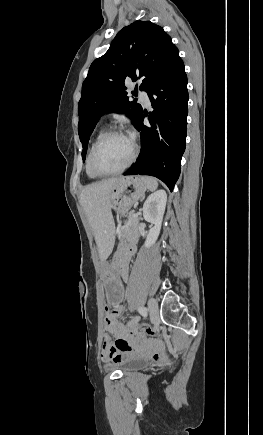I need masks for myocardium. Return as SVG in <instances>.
I'll return each mask as SVG.
<instances>
[{"label":"myocardium","instance_id":"1","mask_svg":"<svg viewBox=\"0 0 263 435\" xmlns=\"http://www.w3.org/2000/svg\"><path fill=\"white\" fill-rule=\"evenodd\" d=\"M112 136H126V137H129L123 130L118 129V128H112V129H109V130L103 132L100 135V137L95 141V143L93 144V146L91 148V151H90L89 165H90V168L92 169V171L94 173H96L97 175H99V176H110V175H116V174H120V173L124 172L126 169H128L132 165V163L134 162V160L136 159L137 154H138V146H137V144L135 143L134 140H132L129 137L132 140V143H133V150H132V153H131L128 161L122 167H120V168H118L116 170L105 171V170L100 169L96 165V162H95V155H96L97 149L99 148V146L106 139H108L109 137H112Z\"/></svg>","mask_w":263,"mask_h":435}]
</instances>
